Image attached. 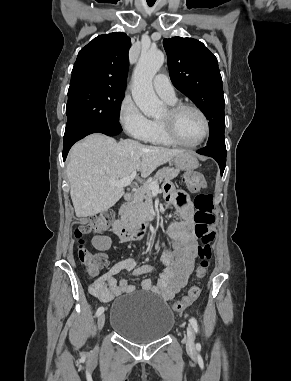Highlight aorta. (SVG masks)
I'll use <instances>...</instances> for the list:
<instances>
[{"instance_id":"1","label":"aorta","mask_w":291,"mask_h":381,"mask_svg":"<svg viewBox=\"0 0 291 381\" xmlns=\"http://www.w3.org/2000/svg\"><path fill=\"white\" fill-rule=\"evenodd\" d=\"M164 63L160 50L142 51L133 73L132 96L138 108L147 117L158 116L163 109L153 89V77Z\"/></svg>"}]
</instances>
